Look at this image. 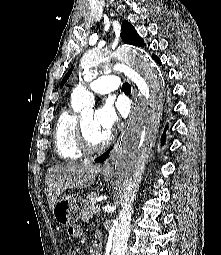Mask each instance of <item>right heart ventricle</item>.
<instances>
[{
  "instance_id": "right-heart-ventricle-1",
  "label": "right heart ventricle",
  "mask_w": 221,
  "mask_h": 255,
  "mask_svg": "<svg viewBox=\"0 0 221 255\" xmlns=\"http://www.w3.org/2000/svg\"><path fill=\"white\" fill-rule=\"evenodd\" d=\"M78 116L70 108H64L55 123L53 139L58 156L67 162L78 161L84 156L77 138Z\"/></svg>"
}]
</instances>
